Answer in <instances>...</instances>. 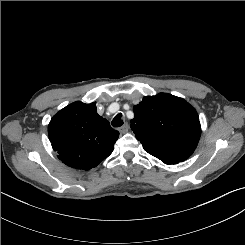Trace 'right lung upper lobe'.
<instances>
[{
    "label": "right lung upper lobe",
    "instance_id": "right-lung-upper-lobe-1",
    "mask_svg": "<svg viewBox=\"0 0 245 245\" xmlns=\"http://www.w3.org/2000/svg\"><path fill=\"white\" fill-rule=\"evenodd\" d=\"M49 139L58 158L67 166L90 170L112 151L119 132L99 116L96 103H71L48 125Z\"/></svg>",
    "mask_w": 245,
    "mask_h": 245
}]
</instances>
